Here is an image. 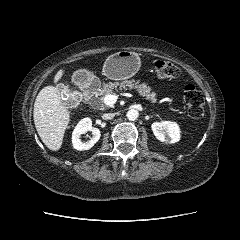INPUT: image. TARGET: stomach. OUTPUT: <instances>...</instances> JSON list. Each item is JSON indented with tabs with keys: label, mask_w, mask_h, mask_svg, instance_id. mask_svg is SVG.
I'll return each mask as SVG.
<instances>
[{
	"label": "stomach",
	"mask_w": 240,
	"mask_h": 240,
	"mask_svg": "<svg viewBox=\"0 0 240 240\" xmlns=\"http://www.w3.org/2000/svg\"><path fill=\"white\" fill-rule=\"evenodd\" d=\"M141 61L135 52L119 51L107 58L103 66V74L112 80H124L134 76L140 69ZM87 78L93 75L86 70H80ZM77 72V73H78Z\"/></svg>",
	"instance_id": "stomach-1"
}]
</instances>
